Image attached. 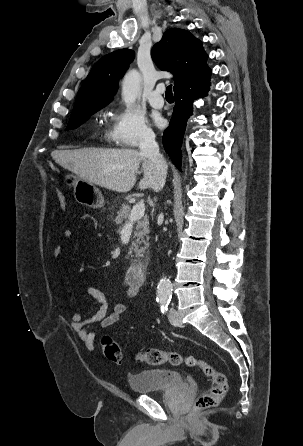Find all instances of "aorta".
<instances>
[{
  "mask_svg": "<svg viewBox=\"0 0 303 446\" xmlns=\"http://www.w3.org/2000/svg\"><path fill=\"white\" fill-rule=\"evenodd\" d=\"M141 75L137 70H130L122 82V99L126 104H131L141 95ZM172 295V283L166 277H162L157 285V299L168 301Z\"/></svg>",
  "mask_w": 303,
  "mask_h": 446,
  "instance_id": "1",
  "label": "aorta"
}]
</instances>
